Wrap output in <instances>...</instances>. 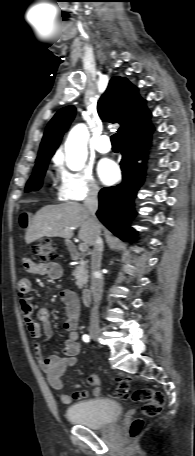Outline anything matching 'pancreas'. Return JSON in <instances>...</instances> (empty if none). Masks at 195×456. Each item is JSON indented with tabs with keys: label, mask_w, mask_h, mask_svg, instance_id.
Segmentation results:
<instances>
[{
	"label": "pancreas",
	"mask_w": 195,
	"mask_h": 456,
	"mask_svg": "<svg viewBox=\"0 0 195 456\" xmlns=\"http://www.w3.org/2000/svg\"><path fill=\"white\" fill-rule=\"evenodd\" d=\"M73 259L77 260V265L74 269V277L76 279V285L79 289H82L88 281V261L84 260V255L74 253Z\"/></svg>",
	"instance_id": "pancreas-1"
}]
</instances>
